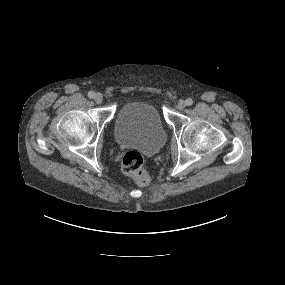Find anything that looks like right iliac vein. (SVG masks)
<instances>
[{"label": "right iliac vein", "instance_id": "63e3f726", "mask_svg": "<svg viewBox=\"0 0 285 285\" xmlns=\"http://www.w3.org/2000/svg\"><path fill=\"white\" fill-rule=\"evenodd\" d=\"M94 100L97 104H100L102 103L103 101V95L101 93H97L95 96H94Z\"/></svg>", "mask_w": 285, "mask_h": 285}]
</instances>
